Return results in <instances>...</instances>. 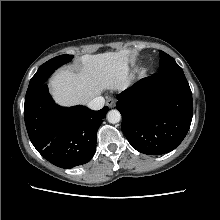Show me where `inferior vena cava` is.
Wrapping results in <instances>:
<instances>
[{"label":"inferior vena cava","instance_id":"602c4592","mask_svg":"<svg viewBox=\"0 0 220 220\" xmlns=\"http://www.w3.org/2000/svg\"><path fill=\"white\" fill-rule=\"evenodd\" d=\"M105 104V99L102 96H97L90 100L87 104V106L92 110H99L103 108Z\"/></svg>","mask_w":220,"mask_h":220}]
</instances>
